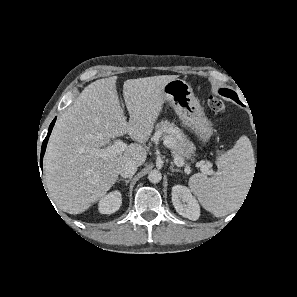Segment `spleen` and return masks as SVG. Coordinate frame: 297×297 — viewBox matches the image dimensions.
Listing matches in <instances>:
<instances>
[{"instance_id": "3e777b00", "label": "spleen", "mask_w": 297, "mask_h": 297, "mask_svg": "<svg viewBox=\"0 0 297 297\" xmlns=\"http://www.w3.org/2000/svg\"><path fill=\"white\" fill-rule=\"evenodd\" d=\"M216 165L214 177L196 173L190 177L189 186L206 210L221 217L236 210L248 190L255 165L250 140L240 137L232 149L217 159Z\"/></svg>"}]
</instances>
